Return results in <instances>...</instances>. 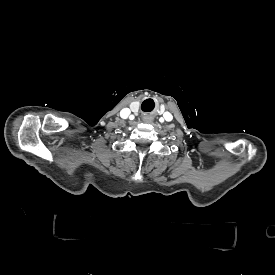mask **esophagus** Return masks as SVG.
Instances as JSON below:
<instances>
[{
	"mask_svg": "<svg viewBox=\"0 0 275 275\" xmlns=\"http://www.w3.org/2000/svg\"><path fill=\"white\" fill-rule=\"evenodd\" d=\"M144 122H151L152 120L148 119L146 116L143 117Z\"/></svg>",
	"mask_w": 275,
	"mask_h": 275,
	"instance_id": "1",
	"label": "esophagus"
}]
</instances>
